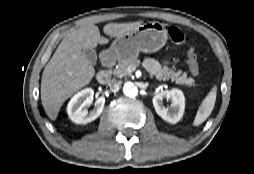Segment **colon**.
I'll return each mask as SVG.
<instances>
[{"label":"colon","instance_id":"colon-1","mask_svg":"<svg viewBox=\"0 0 254 174\" xmlns=\"http://www.w3.org/2000/svg\"><path fill=\"white\" fill-rule=\"evenodd\" d=\"M169 37L172 42L176 44H182L186 42V38L182 30L176 26L169 28ZM189 70L194 76L200 74V66L198 62V56L193 47H189L187 50Z\"/></svg>","mask_w":254,"mask_h":174}]
</instances>
